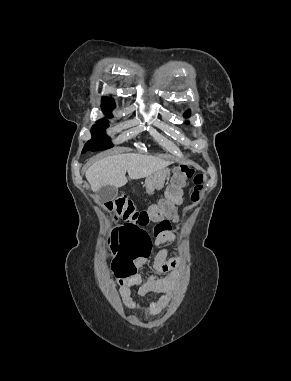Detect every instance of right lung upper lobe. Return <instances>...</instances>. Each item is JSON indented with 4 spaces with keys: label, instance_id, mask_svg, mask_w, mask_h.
<instances>
[{
    "label": "right lung upper lobe",
    "instance_id": "right-lung-upper-lobe-1",
    "mask_svg": "<svg viewBox=\"0 0 291 381\" xmlns=\"http://www.w3.org/2000/svg\"><path fill=\"white\" fill-rule=\"evenodd\" d=\"M103 103L113 104L115 105L114 101L110 98L103 97Z\"/></svg>",
    "mask_w": 291,
    "mask_h": 381
}]
</instances>
